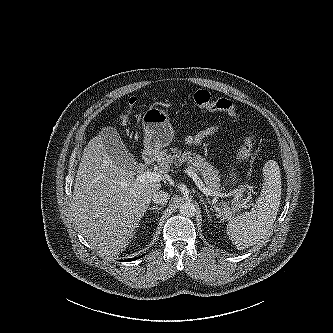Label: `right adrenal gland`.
I'll use <instances>...</instances> for the list:
<instances>
[{
  "label": "right adrenal gland",
  "mask_w": 333,
  "mask_h": 333,
  "mask_svg": "<svg viewBox=\"0 0 333 333\" xmlns=\"http://www.w3.org/2000/svg\"><path fill=\"white\" fill-rule=\"evenodd\" d=\"M161 209H162V207H159V206H157V205L148 208V210H150V211H151V210H156L157 212H159V210H161Z\"/></svg>",
  "instance_id": "obj_1"
}]
</instances>
